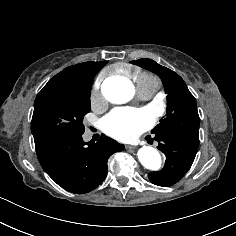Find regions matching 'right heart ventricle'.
I'll use <instances>...</instances> for the list:
<instances>
[{"mask_svg":"<svg viewBox=\"0 0 236 236\" xmlns=\"http://www.w3.org/2000/svg\"><path fill=\"white\" fill-rule=\"evenodd\" d=\"M128 83H133L136 90L145 89L156 91L159 87V81L154 75L141 71L132 73L129 76Z\"/></svg>","mask_w":236,"mask_h":236,"instance_id":"e07e8e85","label":"right heart ventricle"}]
</instances>
